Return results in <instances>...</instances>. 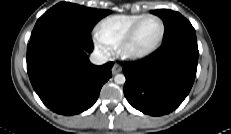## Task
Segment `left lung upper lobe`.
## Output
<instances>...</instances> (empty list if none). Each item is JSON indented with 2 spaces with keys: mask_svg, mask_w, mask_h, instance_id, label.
Listing matches in <instances>:
<instances>
[{
  "mask_svg": "<svg viewBox=\"0 0 231 134\" xmlns=\"http://www.w3.org/2000/svg\"><path fill=\"white\" fill-rule=\"evenodd\" d=\"M151 13L161 17L165 25L164 41L182 34L195 33L191 23L181 14L171 10H154Z\"/></svg>",
  "mask_w": 231,
  "mask_h": 134,
  "instance_id": "left-lung-upper-lobe-1",
  "label": "left lung upper lobe"
}]
</instances>
